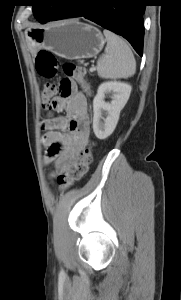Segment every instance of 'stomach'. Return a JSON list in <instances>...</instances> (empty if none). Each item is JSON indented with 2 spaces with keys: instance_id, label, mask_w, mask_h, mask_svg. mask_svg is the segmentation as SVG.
<instances>
[{
  "instance_id": "1",
  "label": "stomach",
  "mask_w": 181,
  "mask_h": 300,
  "mask_svg": "<svg viewBox=\"0 0 181 300\" xmlns=\"http://www.w3.org/2000/svg\"><path fill=\"white\" fill-rule=\"evenodd\" d=\"M25 36L32 53L46 49L70 60L92 58L105 44V39L98 28L77 20L52 23L41 28H29Z\"/></svg>"
}]
</instances>
